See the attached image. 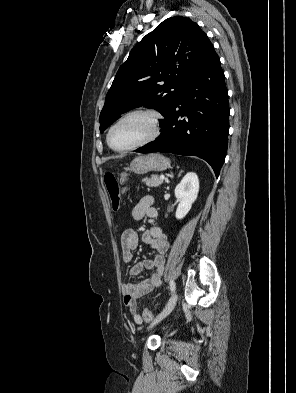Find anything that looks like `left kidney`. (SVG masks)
<instances>
[{"label":"left kidney","mask_w":296,"mask_h":393,"mask_svg":"<svg viewBox=\"0 0 296 393\" xmlns=\"http://www.w3.org/2000/svg\"><path fill=\"white\" fill-rule=\"evenodd\" d=\"M199 192V179L196 173H187L175 188V197L179 200L176 218L182 219L190 211Z\"/></svg>","instance_id":"5707ae66"}]
</instances>
